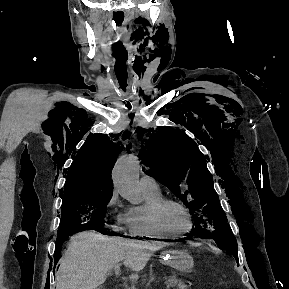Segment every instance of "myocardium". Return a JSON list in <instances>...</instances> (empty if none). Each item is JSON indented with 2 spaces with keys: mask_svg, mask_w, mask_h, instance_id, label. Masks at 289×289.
Masks as SVG:
<instances>
[{
  "mask_svg": "<svg viewBox=\"0 0 289 289\" xmlns=\"http://www.w3.org/2000/svg\"><path fill=\"white\" fill-rule=\"evenodd\" d=\"M169 204H173L176 205L178 207H180L185 214L187 215L188 218V225L187 227L181 231V232H170L167 231L161 224L160 222V213L161 210L163 209V207L169 205ZM147 216L148 219L150 221V224L152 226V228L157 231L158 233L162 234L163 236L166 237H179V236H183L185 234H187L192 226H193V219H192V214L189 210V208L180 200L175 199V198H171V197H160L159 199L155 200L154 202L150 203L147 206Z\"/></svg>",
  "mask_w": 289,
  "mask_h": 289,
  "instance_id": "f54148a6",
  "label": "myocardium"
}]
</instances>
